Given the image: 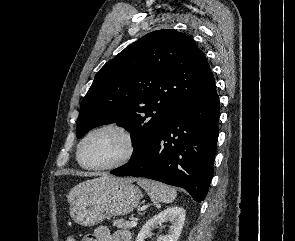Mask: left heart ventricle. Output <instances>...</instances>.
I'll return each mask as SVG.
<instances>
[{"label":"left heart ventricle","mask_w":295,"mask_h":241,"mask_svg":"<svg viewBox=\"0 0 295 241\" xmlns=\"http://www.w3.org/2000/svg\"><path fill=\"white\" fill-rule=\"evenodd\" d=\"M126 152V142L113 130L94 133L84 144L81 158L86 165L103 166L121 159Z\"/></svg>","instance_id":"b2bd125f"}]
</instances>
